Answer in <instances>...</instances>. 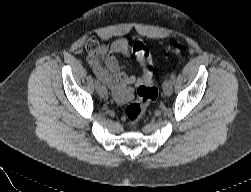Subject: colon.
I'll return each mask as SVG.
<instances>
[{
  "instance_id": "5ec220e1",
  "label": "colon",
  "mask_w": 251,
  "mask_h": 192,
  "mask_svg": "<svg viewBox=\"0 0 251 192\" xmlns=\"http://www.w3.org/2000/svg\"><path fill=\"white\" fill-rule=\"evenodd\" d=\"M182 51L181 46L174 49V53L179 55ZM158 97V89L153 80V71L140 84L137 89V98L128 104L124 110V117L130 126H135L143 118L147 107Z\"/></svg>"
}]
</instances>
